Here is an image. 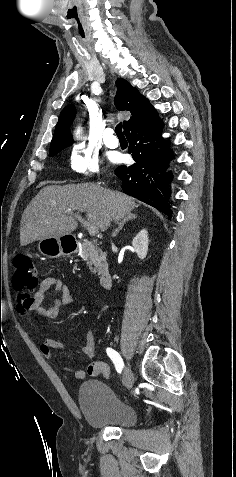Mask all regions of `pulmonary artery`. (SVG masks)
I'll return each mask as SVG.
<instances>
[{
	"instance_id": "pulmonary-artery-1",
	"label": "pulmonary artery",
	"mask_w": 236,
	"mask_h": 477,
	"mask_svg": "<svg viewBox=\"0 0 236 477\" xmlns=\"http://www.w3.org/2000/svg\"><path fill=\"white\" fill-rule=\"evenodd\" d=\"M104 143L109 148H117L119 145L118 139L113 135L112 128H106L103 131Z\"/></svg>"
}]
</instances>
